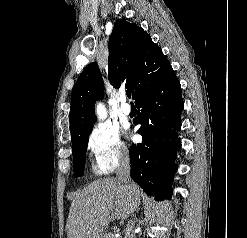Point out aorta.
Masks as SVG:
<instances>
[{
	"mask_svg": "<svg viewBox=\"0 0 247 238\" xmlns=\"http://www.w3.org/2000/svg\"><path fill=\"white\" fill-rule=\"evenodd\" d=\"M96 113L100 119H104L106 117V109L101 103L97 105Z\"/></svg>",
	"mask_w": 247,
	"mask_h": 238,
	"instance_id": "1",
	"label": "aorta"
}]
</instances>
